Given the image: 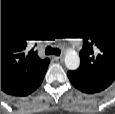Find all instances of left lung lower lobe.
<instances>
[{
    "label": "left lung lower lobe",
    "mask_w": 115,
    "mask_h": 114,
    "mask_svg": "<svg viewBox=\"0 0 115 114\" xmlns=\"http://www.w3.org/2000/svg\"><path fill=\"white\" fill-rule=\"evenodd\" d=\"M68 78L73 86L86 93L100 92L109 86L103 82L75 77L69 72Z\"/></svg>",
    "instance_id": "left-lung-lower-lobe-1"
}]
</instances>
